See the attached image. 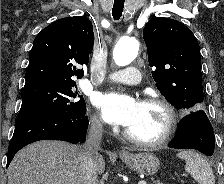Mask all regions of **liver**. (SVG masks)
<instances>
[{
  "mask_svg": "<svg viewBox=\"0 0 224 184\" xmlns=\"http://www.w3.org/2000/svg\"><path fill=\"white\" fill-rule=\"evenodd\" d=\"M79 146L43 140L21 149L8 168V184H82ZM98 173L105 170L102 155L95 159Z\"/></svg>",
  "mask_w": 224,
  "mask_h": 184,
  "instance_id": "liver-1",
  "label": "liver"
}]
</instances>
